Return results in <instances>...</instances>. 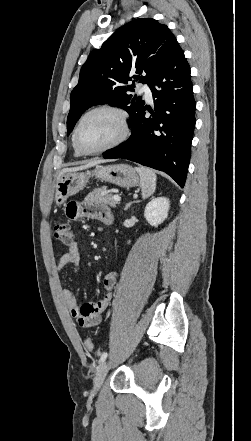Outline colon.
<instances>
[{"instance_id":"5ec220e1","label":"colon","mask_w":251,"mask_h":441,"mask_svg":"<svg viewBox=\"0 0 251 441\" xmlns=\"http://www.w3.org/2000/svg\"><path fill=\"white\" fill-rule=\"evenodd\" d=\"M54 238L62 244L68 245L72 241V233L69 224L57 222L53 228ZM85 347L91 351L94 348V341L91 337L85 339Z\"/></svg>"}]
</instances>
